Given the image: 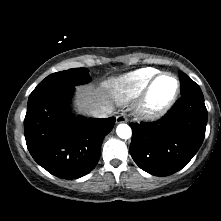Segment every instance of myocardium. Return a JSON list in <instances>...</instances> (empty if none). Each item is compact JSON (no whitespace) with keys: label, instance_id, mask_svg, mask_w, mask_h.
I'll use <instances>...</instances> for the list:
<instances>
[{"label":"myocardium","instance_id":"obj_1","mask_svg":"<svg viewBox=\"0 0 221 221\" xmlns=\"http://www.w3.org/2000/svg\"><path fill=\"white\" fill-rule=\"evenodd\" d=\"M169 76L175 81V90L172 95L163 103L155 105L152 102V92L156 82L164 77ZM180 81L176 75L171 72H158L155 74L142 92L138 113L141 117L149 120L157 119L164 115L175 103L180 93Z\"/></svg>","mask_w":221,"mask_h":221}]
</instances>
